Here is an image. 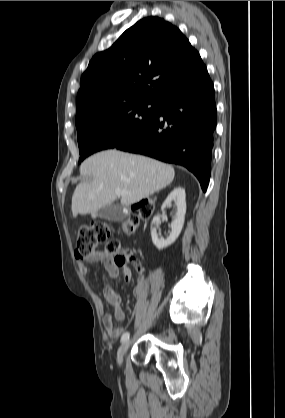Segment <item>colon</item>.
<instances>
[{"label":"colon","mask_w":285,"mask_h":418,"mask_svg":"<svg viewBox=\"0 0 285 418\" xmlns=\"http://www.w3.org/2000/svg\"><path fill=\"white\" fill-rule=\"evenodd\" d=\"M152 213V205L148 201H140L132 208V217L123 222L122 230L125 235H133L138 230V223L147 219ZM109 227L103 223H94L80 227L77 233V246L75 256L77 260L88 261L100 250V246L106 243V251L117 252L119 246L117 242L109 241ZM121 265H128L140 269V259L132 254L123 256L117 260Z\"/></svg>","instance_id":"5ec220e1"}]
</instances>
